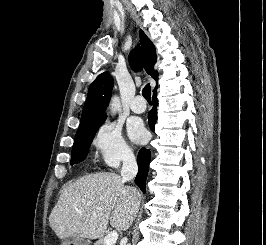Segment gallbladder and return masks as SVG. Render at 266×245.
<instances>
[{
    "instance_id": "1",
    "label": "gallbladder",
    "mask_w": 266,
    "mask_h": 245,
    "mask_svg": "<svg viewBox=\"0 0 266 245\" xmlns=\"http://www.w3.org/2000/svg\"><path fill=\"white\" fill-rule=\"evenodd\" d=\"M77 237H72V239H70V243H75Z\"/></svg>"
}]
</instances>
